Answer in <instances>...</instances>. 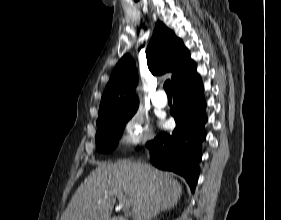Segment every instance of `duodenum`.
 Returning <instances> with one entry per match:
<instances>
[{
	"label": "duodenum",
	"instance_id": "1",
	"mask_svg": "<svg viewBox=\"0 0 281 220\" xmlns=\"http://www.w3.org/2000/svg\"><path fill=\"white\" fill-rule=\"evenodd\" d=\"M110 220H126L125 218H122V217H113L112 219Z\"/></svg>",
	"mask_w": 281,
	"mask_h": 220
}]
</instances>
